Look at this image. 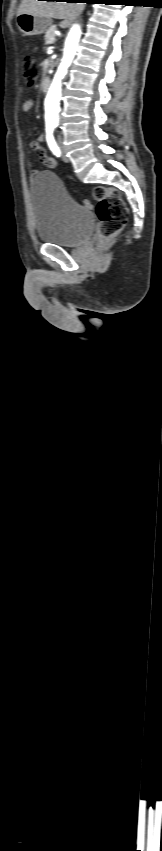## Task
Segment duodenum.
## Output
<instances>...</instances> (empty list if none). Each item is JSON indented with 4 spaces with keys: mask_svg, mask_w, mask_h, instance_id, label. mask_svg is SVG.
<instances>
[{
    "mask_svg": "<svg viewBox=\"0 0 162 851\" xmlns=\"http://www.w3.org/2000/svg\"><path fill=\"white\" fill-rule=\"evenodd\" d=\"M51 80L48 76H45L41 81V90L43 92H47L50 87Z\"/></svg>",
    "mask_w": 162,
    "mask_h": 851,
    "instance_id": "duodenum-1",
    "label": "duodenum"
}]
</instances>
